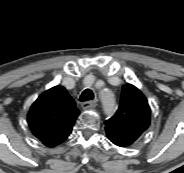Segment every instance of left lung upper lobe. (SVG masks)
I'll list each match as a JSON object with an SVG mask.
<instances>
[{
    "label": "left lung upper lobe",
    "instance_id": "1",
    "mask_svg": "<svg viewBox=\"0 0 184 173\" xmlns=\"http://www.w3.org/2000/svg\"><path fill=\"white\" fill-rule=\"evenodd\" d=\"M150 115L149 104L142 92L131 84L124 85L117 112L105 121L106 134L129 146L149 127Z\"/></svg>",
    "mask_w": 184,
    "mask_h": 173
}]
</instances>
